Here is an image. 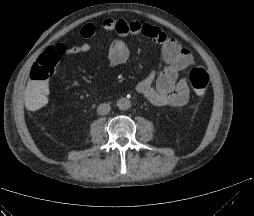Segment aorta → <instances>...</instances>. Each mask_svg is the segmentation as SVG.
Masks as SVG:
<instances>
[{
    "label": "aorta",
    "mask_w": 254,
    "mask_h": 216,
    "mask_svg": "<svg viewBox=\"0 0 254 216\" xmlns=\"http://www.w3.org/2000/svg\"><path fill=\"white\" fill-rule=\"evenodd\" d=\"M117 106L120 110H128L131 107V101L127 98H120L117 101Z\"/></svg>",
    "instance_id": "aorta-1"
}]
</instances>
